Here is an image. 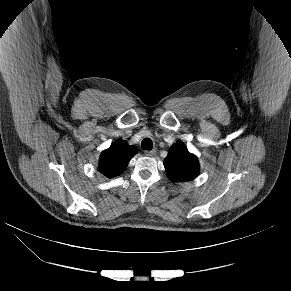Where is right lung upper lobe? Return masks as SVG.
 I'll return each mask as SVG.
<instances>
[{
	"instance_id": "1",
	"label": "right lung upper lobe",
	"mask_w": 291,
	"mask_h": 291,
	"mask_svg": "<svg viewBox=\"0 0 291 291\" xmlns=\"http://www.w3.org/2000/svg\"><path fill=\"white\" fill-rule=\"evenodd\" d=\"M137 153V148L126 141L118 139L100 156L98 170L106 177L120 175L127 167L130 159Z\"/></svg>"
}]
</instances>
